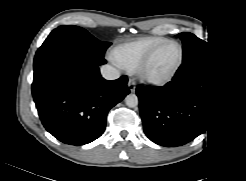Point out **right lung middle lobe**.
<instances>
[{
	"label": "right lung middle lobe",
	"instance_id": "right-lung-middle-lobe-1",
	"mask_svg": "<svg viewBox=\"0 0 246 181\" xmlns=\"http://www.w3.org/2000/svg\"><path fill=\"white\" fill-rule=\"evenodd\" d=\"M65 45L78 48L86 55L104 64V54L111 43L94 38L85 29L78 26H59L50 33L41 47L37 50L35 59L43 56L51 49Z\"/></svg>",
	"mask_w": 246,
	"mask_h": 181
}]
</instances>
